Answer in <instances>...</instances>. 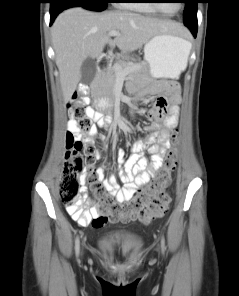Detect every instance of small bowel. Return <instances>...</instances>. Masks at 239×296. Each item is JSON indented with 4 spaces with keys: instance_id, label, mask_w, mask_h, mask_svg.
Wrapping results in <instances>:
<instances>
[{
    "instance_id": "1",
    "label": "small bowel",
    "mask_w": 239,
    "mask_h": 296,
    "mask_svg": "<svg viewBox=\"0 0 239 296\" xmlns=\"http://www.w3.org/2000/svg\"><path fill=\"white\" fill-rule=\"evenodd\" d=\"M168 90L170 105L167 106V101L164 97H159L155 100L153 107L149 111L150 117L154 118L155 121L146 127L148 135L144 139L132 144V155L129 158H125V153L123 151H119L117 154L119 162V178L124 184L123 187H120L119 181L115 175L111 174L106 177L104 168L99 169V176L101 180L104 181L107 191L120 203L130 200L135 195L136 189L148 183L151 176L163 166L165 154L170 148V135L177 127L179 114L178 85L170 83ZM140 98L141 93H135L133 98L134 102L131 106L133 112L138 111L135 102ZM88 114L98 123V125L105 122L101 114L98 112L89 109ZM109 120L110 119H108V121ZM68 128L74 135H79L73 121L68 123ZM92 134L101 137L96 127H93ZM144 150H147L151 154L150 159L144 155ZM82 182L84 185L83 189H85V180L82 179ZM89 212L91 217L90 220L86 222L77 220L80 225L87 226L91 224L95 228H100L106 224V221L98 222L99 213L95 207H91ZM68 213L71 215L69 211ZM71 217L73 218L72 215ZM133 219L135 218L130 215H124L121 217V220L124 222Z\"/></svg>"
}]
</instances>
